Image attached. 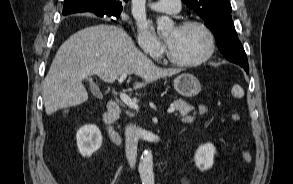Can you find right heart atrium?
Here are the masks:
<instances>
[{
  "mask_svg": "<svg viewBox=\"0 0 293 184\" xmlns=\"http://www.w3.org/2000/svg\"><path fill=\"white\" fill-rule=\"evenodd\" d=\"M137 41L142 51L153 58H158L163 53L161 42L144 24L138 26Z\"/></svg>",
  "mask_w": 293,
  "mask_h": 184,
  "instance_id": "obj_1",
  "label": "right heart atrium"
}]
</instances>
